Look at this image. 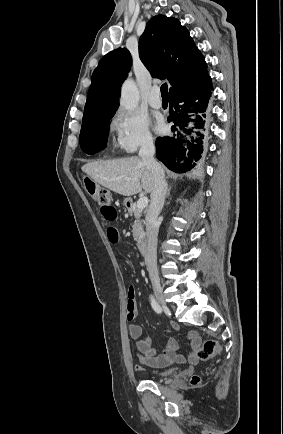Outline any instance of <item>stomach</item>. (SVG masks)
I'll return each mask as SVG.
<instances>
[{
  "label": "stomach",
  "instance_id": "obj_1",
  "mask_svg": "<svg viewBox=\"0 0 283 434\" xmlns=\"http://www.w3.org/2000/svg\"><path fill=\"white\" fill-rule=\"evenodd\" d=\"M129 201H130V199H129V198H126V199L124 200V204L126 205Z\"/></svg>",
  "mask_w": 283,
  "mask_h": 434
}]
</instances>
